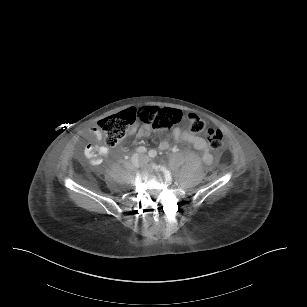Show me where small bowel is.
I'll use <instances>...</instances> for the list:
<instances>
[{
	"label": "small bowel",
	"instance_id": "c3829d8e",
	"mask_svg": "<svg viewBox=\"0 0 307 307\" xmlns=\"http://www.w3.org/2000/svg\"><path fill=\"white\" fill-rule=\"evenodd\" d=\"M135 130L132 129L133 133ZM90 133L96 138L97 141L101 139V132L97 128H92ZM150 133V129L148 127H142L137 132V137L142 138L148 136ZM173 138L178 142H187L192 144L197 150L201 151L203 161L206 164H210L212 162V156L210 153V149L208 147L207 142L201 136H198L190 131L175 128L172 131ZM169 147V143L167 141H162L159 144V148L161 150H166ZM109 148L104 145H99L97 143L88 144L84 149V156L86 160L93 164L99 165L103 162V158H105L109 154Z\"/></svg>",
	"mask_w": 307,
	"mask_h": 307
}]
</instances>
